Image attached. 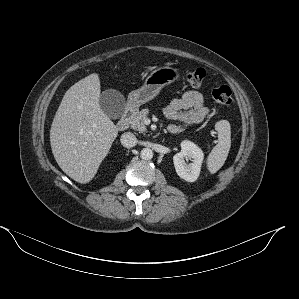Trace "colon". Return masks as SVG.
Wrapping results in <instances>:
<instances>
[{"instance_id":"5ec220e1","label":"colon","mask_w":299,"mask_h":299,"mask_svg":"<svg viewBox=\"0 0 299 299\" xmlns=\"http://www.w3.org/2000/svg\"><path fill=\"white\" fill-rule=\"evenodd\" d=\"M205 76V70L197 68L188 73L187 80L193 87H200L204 82ZM212 97L217 103L222 105H230L233 101L232 90L226 85L215 88L212 91Z\"/></svg>"}]
</instances>
